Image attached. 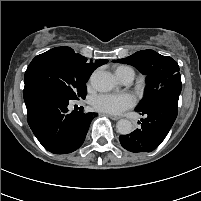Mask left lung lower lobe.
I'll list each match as a JSON object with an SVG mask.
<instances>
[{
  "label": "left lung lower lobe",
  "mask_w": 201,
  "mask_h": 201,
  "mask_svg": "<svg viewBox=\"0 0 201 201\" xmlns=\"http://www.w3.org/2000/svg\"><path fill=\"white\" fill-rule=\"evenodd\" d=\"M140 115L141 127L128 135L119 136L123 148L130 152H151L157 148L170 131L178 113V102L160 100L151 106L136 110Z\"/></svg>",
  "instance_id": "obj_1"
}]
</instances>
